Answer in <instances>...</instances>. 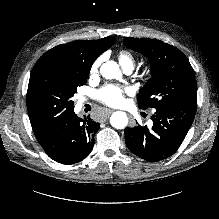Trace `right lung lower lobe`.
I'll use <instances>...</instances> for the list:
<instances>
[{
  "label": "right lung lower lobe",
  "instance_id": "98d812e1",
  "mask_svg": "<svg viewBox=\"0 0 219 219\" xmlns=\"http://www.w3.org/2000/svg\"><path fill=\"white\" fill-rule=\"evenodd\" d=\"M36 138L53 160L70 165L83 160L94 146V134L100 123L89 116L79 118L74 109L50 119L41 126H33Z\"/></svg>",
  "mask_w": 219,
  "mask_h": 219
}]
</instances>
